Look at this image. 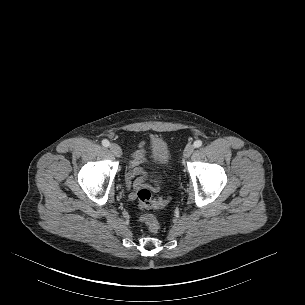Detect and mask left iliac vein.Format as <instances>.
Wrapping results in <instances>:
<instances>
[{"label": "left iliac vein", "mask_w": 305, "mask_h": 305, "mask_svg": "<svg viewBox=\"0 0 305 305\" xmlns=\"http://www.w3.org/2000/svg\"><path fill=\"white\" fill-rule=\"evenodd\" d=\"M193 151H194V145L188 144L184 150V158L190 157V155L193 153Z\"/></svg>", "instance_id": "1"}]
</instances>
